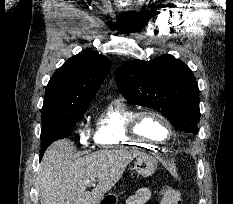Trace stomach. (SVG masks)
Masks as SVG:
<instances>
[{
    "mask_svg": "<svg viewBox=\"0 0 233 204\" xmlns=\"http://www.w3.org/2000/svg\"><path fill=\"white\" fill-rule=\"evenodd\" d=\"M134 168L139 175L148 177L155 173L157 162L150 155L141 154L134 161ZM98 204H104V201L101 200Z\"/></svg>",
    "mask_w": 233,
    "mask_h": 204,
    "instance_id": "1",
    "label": "stomach"
}]
</instances>
